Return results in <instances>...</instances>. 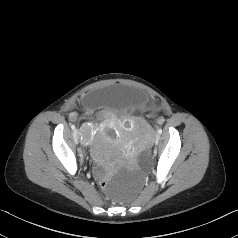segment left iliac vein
Listing matches in <instances>:
<instances>
[{"mask_svg":"<svg viewBox=\"0 0 238 238\" xmlns=\"http://www.w3.org/2000/svg\"><path fill=\"white\" fill-rule=\"evenodd\" d=\"M160 140V135L159 134H156V136H155V142H156V144H155V147H158V145H159V141Z\"/></svg>","mask_w":238,"mask_h":238,"instance_id":"left-iliac-vein-1","label":"left iliac vein"}]
</instances>
